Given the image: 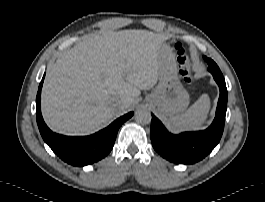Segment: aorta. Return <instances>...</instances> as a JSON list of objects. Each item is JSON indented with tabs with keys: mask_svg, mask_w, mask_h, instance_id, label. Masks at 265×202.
I'll return each mask as SVG.
<instances>
[{
	"mask_svg": "<svg viewBox=\"0 0 265 202\" xmlns=\"http://www.w3.org/2000/svg\"><path fill=\"white\" fill-rule=\"evenodd\" d=\"M134 117H135V121L142 125L149 124L152 119L151 113L145 108H139L135 112Z\"/></svg>",
	"mask_w": 265,
	"mask_h": 202,
	"instance_id": "762f6f07",
	"label": "aorta"
}]
</instances>
